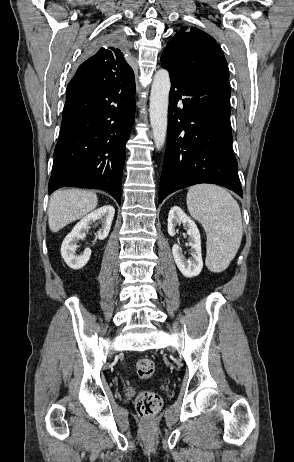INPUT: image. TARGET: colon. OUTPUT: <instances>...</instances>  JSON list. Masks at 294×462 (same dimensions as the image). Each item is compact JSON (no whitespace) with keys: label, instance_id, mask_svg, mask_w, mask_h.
Wrapping results in <instances>:
<instances>
[{"label":"colon","instance_id":"1","mask_svg":"<svg viewBox=\"0 0 294 462\" xmlns=\"http://www.w3.org/2000/svg\"><path fill=\"white\" fill-rule=\"evenodd\" d=\"M136 371L141 379L150 378L155 371V363L152 359L143 358L137 362ZM162 405L158 394L151 391L140 392L135 400L137 412L141 417L151 418L155 416Z\"/></svg>","mask_w":294,"mask_h":462}]
</instances>
